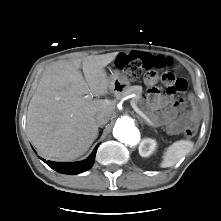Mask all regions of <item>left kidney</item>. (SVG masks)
<instances>
[{
	"label": "left kidney",
	"mask_w": 221,
	"mask_h": 221,
	"mask_svg": "<svg viewBox=\"0 0 221 221\" xmlns=\"http://www.w3.org/2000/svg\"><path fill=\"white\" fill-rule=\"evenodd\" d=\"M157 142L151 138H145L142 140L139 146V154L142 157H149L156 149Z\"/></svg>",
	"instance_id": "obj_1"
}]
</instances>
